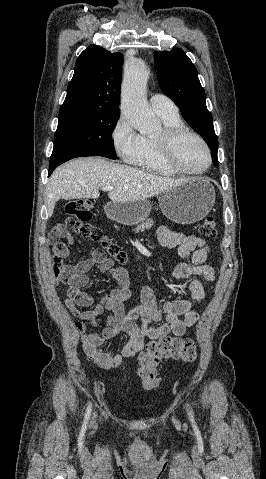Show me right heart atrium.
Returning a JSON list of instances; mask_svg holds the SVG:
<instances>
[{
  "label": "right heart atrium",
  "mask_w": 266,
  "mask_h": 479,
  "mask_svg": "<svg viewBox=\"0 0 266 479\" xmlns=\"http://www.w3.org/2000/svg\"><path fill=\"white\" fill-rule=\"evenodd\" d=\"M117 154L126 162L133 163L141 151V136L136 133L125 116H120L111 132Z\"/></svg>",
  "instance_id": "d8ad5b80"
}]
</instances>
